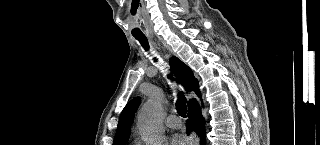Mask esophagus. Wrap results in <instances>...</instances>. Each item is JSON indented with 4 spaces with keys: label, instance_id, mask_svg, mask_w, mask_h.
Wrapping results in <instances>:
<instances>
[{
    "label": "esophagus",
    "instance_id": "obj_1",
    "mask_svg": "<svg viewBox=\"0 0 320 145\" xmlns=\"http://www.w3.org/2000/svg\"><path fill=\"white\" fill-rule=\"evenodd\" d=\"M199 139L198 136L193 132L190 136V144L191 145H198Z\"/></svg>",
    "mask_w": 320,
    "mask_h": 145
}]
</instances>
